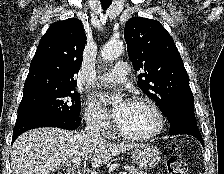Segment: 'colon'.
I'll return each instance as SVG.
<instances>
[{
  "mask_svg": "<svg viewBox=\"0 0 224 174\" xmlns=\"http://www.w3.org/2000/svg\"><path fill=\"white\" fill-rule=\"evenodd\" d=\"M166 167L169 174H186V163L178 156H170L166 160Z\"/></svg>",
  "mask_w": 224,
  "mask_h": 174,
  "instance_id": "colon-1",
  "label": "colon"
}]
</instances>
